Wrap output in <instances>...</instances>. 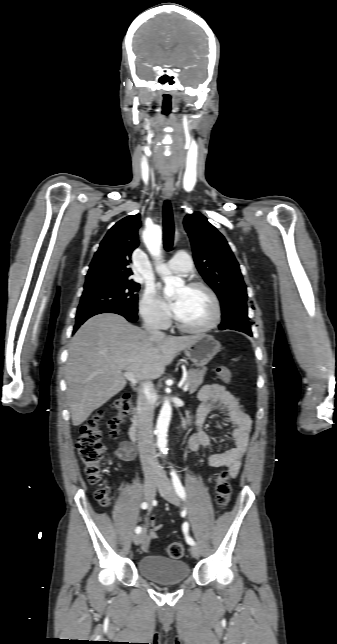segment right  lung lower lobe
I'll list each match as a JSON object with an SVG mask.
<instances>
[{"label":"right lung lower lobe","instance_id":"98d812e1","mask_svg":"<svg viewBox=\"0 0 337 644\" xmlns=\"http://www.w3.org/2000/svg\"><path fill=\"white\" fill-rule=\"evenodd\" d=\"M101 313H116V314L124 316L130 322H135L137 320V318H138L137 317V312H131V311L124 310V309L104 310V311H100V312H97V313L92 314V315H88V316H84V317H80V318L76 319V324L74 326L73 332H75L80 327V325H82L88 318H90V317H92L94 315H97V314H101Z\"/></svg>","mask_w":337,"mask_h":644}]
</instances>
